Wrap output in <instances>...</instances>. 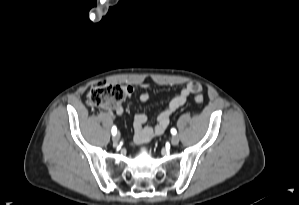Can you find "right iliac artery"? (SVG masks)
<instances>
[{
	"instance_id": "82829eb1",
	"label": "right iliac artery",
	"mask_w": 299,
	"mask_h": 205,
	"mask_svg": "<svg viewBox=\"0 0 299 205\" xmlns=\"http://www.w3.org/2000/svg\"><path fill=\"white\" fill-rule=\"evenodd\" d=\"M117 133V128L115 126L112 127V135H115Z\"/></svg>"
}]
</instances>
